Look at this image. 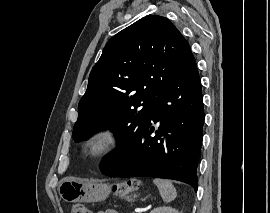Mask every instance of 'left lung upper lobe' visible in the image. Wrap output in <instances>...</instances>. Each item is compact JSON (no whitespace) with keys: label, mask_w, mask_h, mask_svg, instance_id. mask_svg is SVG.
<instances>
[{"label":"left lung upper lobe","mask_w":270,"mask_h":213,"mask_svg":"<svg viewBox=\"0 0 270 213\" xmlns=\"http://www.w3.org/2000/svg\"><path fill=\"white\" fill-rule=\"evenodd\" d=\"M195 63L188 42L165 17L147 15L120 31L89 75L75 141L105 128L114 130L119 143L133 137L150 118L158 96Z\"/></svg>","instance_id":"obj_1"}]
</instances>
